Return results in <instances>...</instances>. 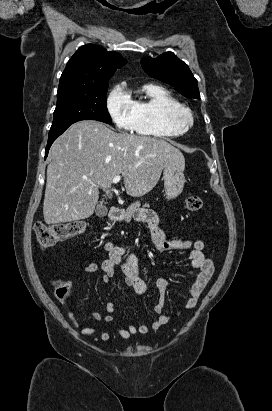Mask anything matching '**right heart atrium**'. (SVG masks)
<instances>
[{
  "instance_id": "obj_1",
  "label": "right heart atrium",
  "mask_w": 272,
  "mask_h": 411,
  "mask_svg": "<svg viewBox=\"0 0 272 411\" xmlns=\"http://www.w3.org/2000/svg\"><path fill=\"white\" fill-rule=\"evenodd\" d=\"M107 112L119 130L129 131L134 126V105L125 86L116 85L106 99Z\"/></svg>"
}]
</instances>
